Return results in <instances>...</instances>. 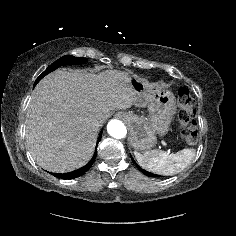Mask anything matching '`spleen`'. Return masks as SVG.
Listing matches in <instances>:
<instances>
[{
  "mask_svg": "<svg viewBox=\"0 0 236 236\" xmlns=\"http://www.w3.org/2000/svg\"><path fill=\"white\" fill-rule=\"evenodd\" d=\"M134 155L142 168L156 174L173 175L191 163L195 157V150L185 148L174 154L155 149L144 154L135 151Z\"/></svg>",
  "mask_w": 236,
  "mask_h": 236,
  "instance_id": "1",
  "label": "spleen"
}]
</instances>
